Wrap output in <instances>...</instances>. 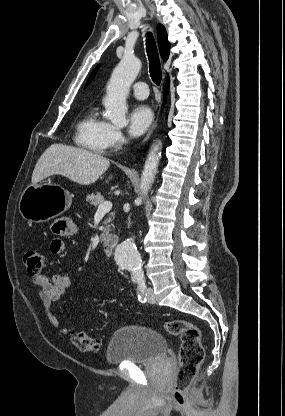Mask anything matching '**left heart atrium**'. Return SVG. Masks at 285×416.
Returning <instances> with one entry per match:
<instances>
[{"mask_svg":"<svg viewBox=\"0 0 285 416\" xmlns=\"http://www.w3.org/2000/svg\"><path fill=\"white\" fill-rule=\"evenodd\" d=\"M129 133L134 136L143 134L152 122V112L149 107L139 104L133 107L129 117Z\"/></svg>","mask_w":285,"mask_h":416,"instance_id":"obj_1","label":"left heart atrium"}]
</instances>
